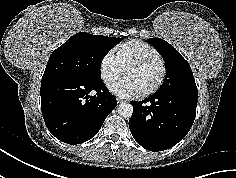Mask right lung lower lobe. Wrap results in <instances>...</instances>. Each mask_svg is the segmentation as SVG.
Returning <instances> with one entry per match:
<instances>
[{
    "instance_id": "98d812e1",
    "label": "right lung lower lobe",
    "mask_w": 236,
    "mask_h": 178,
    "mask_svg": "<svg viewBox=\"0 0 236 178\" xmlns=\"http://www.w3.org/2000/svg\"><path fill=\"white\" fill-rule=\"evenodd\" d=\"M41 108L49 131L60 141L75 145L93 138L117 106L103 81L88 83L66 77L41 81ZM95 91L94 96L90 93Z\"/></svg>"
}]
</instances>
